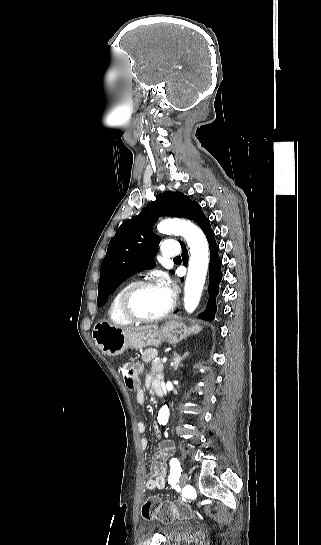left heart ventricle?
Returning a JSON list of instances; mask_svg holds the SVG:
<instances>
[{"label": "left heart ventricle", "mask_w": 321, "mask_h": 545, "mask_svg": "<svg viewBox=\"0 0 321 545\" xmlns=\"http://www.w3.org/2000/svg\"><path fill=\"white\" fill-rule=\"evenodd\" d=\"M171 301L160 288L145 289L135 293L129 300L128 308L137 317H151L168 310Z\"/></svg>", "instance_id": "obj_1"}]
</instances>
